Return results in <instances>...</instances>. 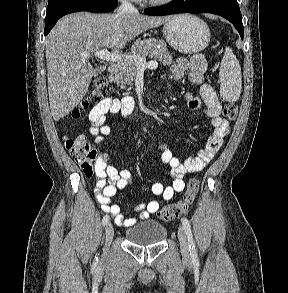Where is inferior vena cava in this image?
Segmentation results:
<instances>
[{
    "instance_id": "obj_1",
    "label": "inferior vena cava",
    "mask_w": 288,
    "mask_h": 293,
    "mask_svg": "<svg viewBox=\"0 0 288 293\" xmlns=\"http://www.w3.org/2000/svg\"><path fill=\"white\" fill-rule=\"evenodd\" d=\"M119 13H125V12H135L137 13V9L128 1V0H122V3L118 9Z\"/></svg>"
}]
</instances>
